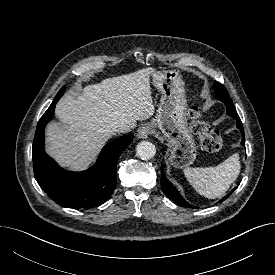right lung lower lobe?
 <instances>
[{"mask_svg":"<svg viewBox=\"0 0 275 275\" xmlns=\"http://www.w3.org/2000/svg\"><path fill=\"white\" fill-rule=\"evenodd\" d=\"M60 97L56 95L37 124L32 151L35 179L47 195L61 206L76 209L98 207L114 191L118 159L133 138L123 136L105 145L96 164L89 170L69 172L60 168L44 150V129L52 119Z\"/></svg>","mask_w":275,"mask_h":275,"instance_id":"98d812e1","label":"right lung lower lobe"}]
</instances>
